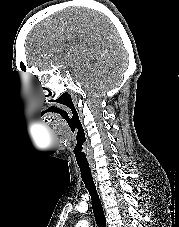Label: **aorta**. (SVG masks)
<instances>
[{
	"instance_id": "obj_1",
	"label": "aorta",
	"mask_w": 179,
	"mask_h": 227,
	"mask_svg": "<svg viewBox=\"0 0 179 227\" xmlns=\"http://www.w3.org/2000/svg\"><path fill=\"white\" fill-rule=\"evenodd\" d=\"M75 227H89V223L87 220H81L76 224Z\"/></svg>"
}]
</instances>
